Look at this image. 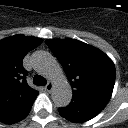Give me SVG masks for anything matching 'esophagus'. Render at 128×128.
<instances>
[{
    "label": "esophagus",
    "mask_w": 128,
    "mask_h": 128,
    "mask_svg": "<svg viewBox=\"0 0 128 128\" xmlns=\"http://www.w3.org/2000/svg\"><path fill=\"white\" fill-rule=\"evenodd\" d=\"M52 89H53V83H52V82H49V83L45 86V90L50 93V92L52 91Z\"/></svg>",
    "instance_id": "1"
}]
</instances>
